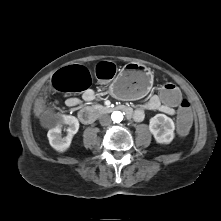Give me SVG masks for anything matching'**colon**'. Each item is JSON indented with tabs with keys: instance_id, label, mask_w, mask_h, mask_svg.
I'll return each mask as SVG.
<instances>
[{
	"instance_id": "obj_1",
	"label": "colon",
	"mask_w": 221,
	"mask_h": 221,
	"mask_svg": "<svg viewBox=\"0 0 221 221\" xmlns=\"http://www.w3.org/2000/svg\"><path fill=\"white\" fill-rule=\"evenodd\" d=\"M116 66L111 62H101L95 69V74L100 80H110L115 76ZM92 82L90 72L83 66L73 65L59 70L51 79V85L60 92L71 93L87 90ZM159 98L164 106L178 109L175 134L179 138H186L192 128V113L187 99L182 98L181 91L174 84H166L159 91ZM48 109L62 112L60 106L53 104ZM35 117L45 111L41 100L35 101Z\"/></svg>"
}]
</instances>
